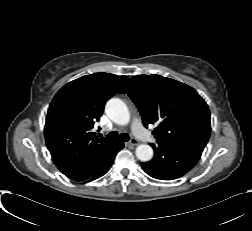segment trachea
<instances>
[{
    "instance_id": "1",
    "label": "trachea",
    "mask_w": 252,
    "mask_h": 231,
    "mask_svg": "<svg viewBox=\"0 0 252 231\" xmlns=\"http://www.w3.org/2000/svg\"><path fill=\"white\" fill-rule=\"evenodd\" d=\"M107 138L110 140H121V141H129V136L126 133H121L120 135H118V133L116 131H111L108 135Z\"/></svg>"
}]
</instances>
